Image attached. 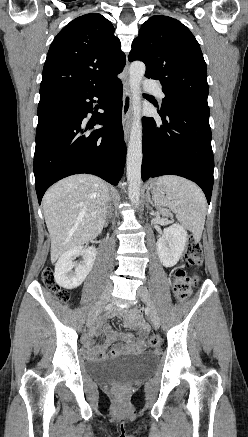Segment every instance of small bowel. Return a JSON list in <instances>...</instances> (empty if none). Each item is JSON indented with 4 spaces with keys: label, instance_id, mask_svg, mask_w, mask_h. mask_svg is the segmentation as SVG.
Here are the masks:
<instances>
[{
    "label": "small bowel",
    "instance_id": "1",
    "mask_svg": "<svg viewBox=\"0 0 248 437\" xmlns=\"http://www.w3.org/2000/svg\"><path fill=\"white\" fill-rule=\"evenodd\" d=\"M117 314L115 310L110 311L107 314V317H113ZM141 334L146 332V328L142 324H138ZM98 330H103L106 333V341L103 344L95 345L93 343L94 335L98 332ZM121 340L123 344H117L110 351L111 356H115L121 352L129 351V352H139L143 350L144 343L142 340H137L134 336L129 334H119L110 329V327L106 324L105 320H100L96 328L85 335L83 342L85 346V354L87 357L91 359H103L107 356L108 347L115 341Z\"/></svg>",
    "mask_w": 248,
    "mask_h": 437
}]
</instances>
